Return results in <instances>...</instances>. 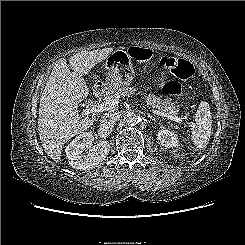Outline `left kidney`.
<instances>
[{"label": "left kidney", "mask_w": 245, "mask_h": 245, "mask_svg": "<svg viewBox=\"0 0 245 245\" xmlns=\"http://www.w3.org/2000/svg\"><path fill=\"white\" fill-rule=\"evenodd\" d=\"M157 138L161 145L166 148H173L179 145L177 134L169 129H161Z\"/></svg>", "instance_id": "obj_1"}]
</instances>
